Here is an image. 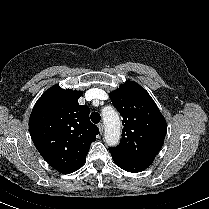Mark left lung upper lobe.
<instances>
[{
	"mask_svg": "<svg viewBox=\"0 0 209 209\" xmlns=\"http://www.w3.org/2000/svg\"><path fill=\"white\" fill-rule=\"evenodd\" d=\"M113 105L123 117L122 139L111 155L151 164L160 151L167 124L151 96L136 82L128 81L110 93Z\"/></svg>",
	"mask_w": 209,
	"mask_h": 209,
	"instance_id": "obj_1",
	"label": "left lung upper lobe"
}]
</instances>
